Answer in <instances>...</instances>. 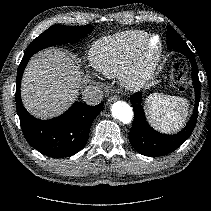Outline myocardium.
Listing matches in <instances>:
<instances>
[{"label":"myocardium","instance_id":"myocardium-1","mask_svg":"<svg viewBox=\"0 0 211 211\" xmlns=\"http://www.w3.org/2000/svg\"><path fill=\"white\" fill-rule=\"evenodd\" d=\"M156 41L154 50L150 43ZM165 53L162 37L155 33H148L134 55L121 71V83L129 90H139L148 84L158 73Z\"/></svg>","mask_w":211,"mask_h":211}]
</instances>
